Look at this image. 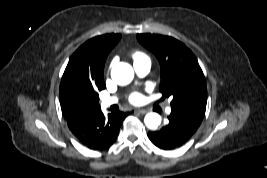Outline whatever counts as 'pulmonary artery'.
<instances>
[{
  "mask_svg": "<svg viewBox=\"0 0 267 178\" xmlns=\"http://www.w3.org/2000/svg\"><path fill=\"white\" fill-rule=\"evenodd\" d=\"M150 68H151V61L149 59H143L134 62V69L139 76L146 75L150 71ZM116 102H117L116 97L103 98L101 100V106L103 108H106ZM166 112L169 114L171 112V109L167 108Z\"/></svg>",
  "mask_w": 267,
  "mask_h": 178,
  "instance_id": "pulmonary-artery-1",
  "label": "pulmonary artery"
}]
</instances>
